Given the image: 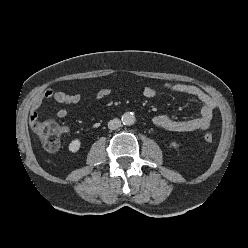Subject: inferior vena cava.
<instances>
[{
	"label": "inferior vena cava",
	"mask_w": 248,
	"mask_h": 248,
	"mask_svg": "<svg viewBox=\"0 0 248 248\" xmlns=\"http://www.w3.org/2000/svg\"><path fill=\"white\" fill-rule=\"evenodd\" d=\"M121 126V121L117 118L112 119L108 122V128L110 130H116Z\"/></svg>",
	"instance_id": "1"
}]
</instances>
